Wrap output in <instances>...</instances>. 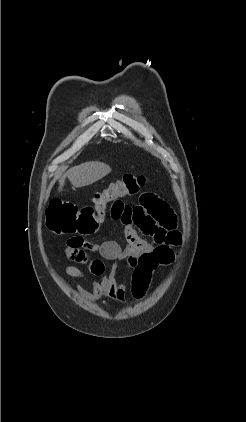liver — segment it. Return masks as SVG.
<instances>
[{
    "mask_svg": "<svg viewBox=\"0 0 246 422\" xmlns=\"http://www.w3.org/2000/svg\"><path fill=\"white\" fill-rule=\"evenodd\" d=\"M111 172L110 166L91 161L72 167L59 179V190H62L68 177L73 187L80 188L95 183Z\"/></svg>",
    "mask_w": 246,
    "mask_h": 422,
    "instance_id": "liver-1",
    "label": "liver"
}]
</instances>
